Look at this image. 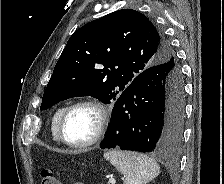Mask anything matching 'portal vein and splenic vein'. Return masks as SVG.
<instances>
[{
	"label": "portal vein and splenic vein",
	"mask_w": 224,
	"mask_h": 184,
	"mask_svg": "<svg viewBox=\"0 0 224 184\" xmlns=\"http://www.w3.org/2000/svg\"><path fill=\"white\" fill-rule=\"evenodd\" d=\"M115 183H116V180L114 178L109 179V184H115Z\"/></svg>",
	"instance_id": "1"
}]
</instances>
